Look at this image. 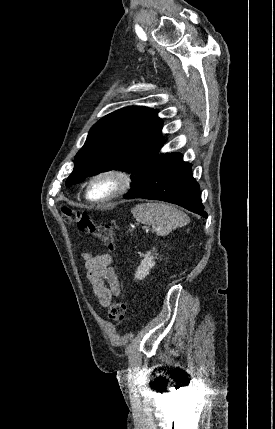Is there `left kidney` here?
Segmentation results:
<instances>
[{"mask_svg": "<svg viewBox=\"0 0 275 429\" xmlns=\"http://www.w3.org/2000/svg\"><path fill=\"white\" fill-rule=\"evenodd\" d=\"M154 250L155 248L153 249V251ZM154 265V256L151 255V252H148L147 254H145L144 259H142L139 267L137 268L135 277L139 280H142L149 274L150 269L154 267Z\"/></svg>", "mask_w": 275, "mask_h": 429, "instance_id": "left-kidney-1", "label": "left kidney"}]
</instances>
